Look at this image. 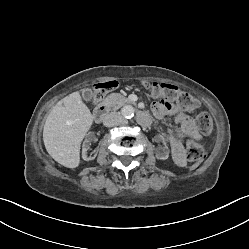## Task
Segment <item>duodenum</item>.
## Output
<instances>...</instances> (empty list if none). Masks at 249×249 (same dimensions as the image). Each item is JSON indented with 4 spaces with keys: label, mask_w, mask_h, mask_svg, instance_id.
<instances>
[{
    "label": "duodenum",
    "mask_w": 249,
    "mask_h": 249,
    "mask_svg": "<svg viewBox=\"0 0 249 249\" xmlns=\"http://www.w3.org/2000/svg\"><path fill=\"white\" fill-rule=\"evenodd\" d=\"M108 110V106L106 103H100L94 110L93 116L97 122H101L106 115ZM137 122L142 126H148L150 124V119L148 118L147 114L144 112H139L137 114Z\"/></svg>",
    "instance_id": "duodenum-1"
}]
</instances>
